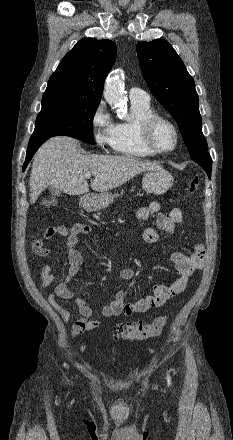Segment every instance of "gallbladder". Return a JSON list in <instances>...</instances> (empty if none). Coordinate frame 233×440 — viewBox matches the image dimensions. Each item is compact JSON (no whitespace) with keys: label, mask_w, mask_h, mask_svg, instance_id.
<instances>
[{"label":"gallbladder","mask_w":233,"mask_h":440,"mask_svg":"<svg viewBox=\"0 0 233 440\" xmlns=\"http://www.w3.org/2000/svg\"><path fill=\"white\" fill-rule=\"evenodd\" d=\"M49 191L54 196H60L61 195V191L59 189L55 188V187H49Z\"/></svg>","instance_id":"gallbladder-1"}]
</instances>
